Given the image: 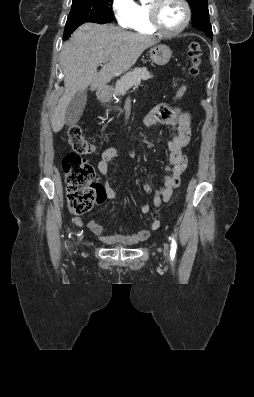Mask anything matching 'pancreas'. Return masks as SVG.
Masks as SVG:
<instances>
[{"label":"pancreas","instance_id":"pancreas-1","mask_svg":"<svg viewBox=\"0 0 254 397\" xmlns=\"http://www.w3.org/2000/svg\"><path fill=\"white\" fill-rule=\"evenodd\" d=\"M153 76L147 71L146 67H136L121 77L115 85L116 96H123L132 87H138L142 80L151 79Z\"/></svg>","mask_w":254,"mask_h":397}]
</instances>
